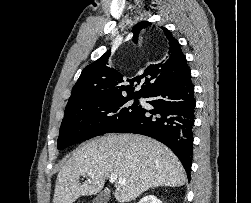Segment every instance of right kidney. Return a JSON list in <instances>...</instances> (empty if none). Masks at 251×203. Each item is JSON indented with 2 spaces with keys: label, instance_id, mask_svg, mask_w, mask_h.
Wrapping results in <instances>:
<instances>
[{
  "label": "right kidney",
  "instance_id": "obj_1",
  "mask_svg": "<svg viewBox=\"0 0 251 203\" xmlns=\"http://www.w3.org/2000/svg\"><path fill=\"white\" fill-rule=\"evenodd\" d=\"M138 203H162V201L159 200L154 195H148V196L143 197Z\"/></svg>",
  "mask_w": 251,
  "mask_h": 203
}]
</instances>
